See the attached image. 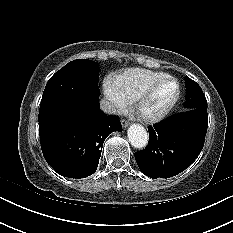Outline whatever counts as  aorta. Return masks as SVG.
Instances as JSON below:
<instances>
[{
	"label": "aorta",
	"instance_id": "aorta-1",
	"mask_svg": "<svg viewBox=\"0 0 233 233\" xmlns=\"http://www.w3.org/2000/svg\"><path fill=\"white\" fill-rule=\"evenodd\" d=\"M127 135L134 148L142 149L148 144V133L140 124H132L128 129Z\"/></svg>",
	"mask_w": 233,
	"mask_h": 233
}]
</instances>
